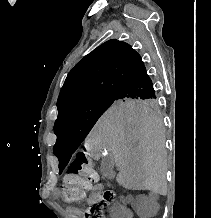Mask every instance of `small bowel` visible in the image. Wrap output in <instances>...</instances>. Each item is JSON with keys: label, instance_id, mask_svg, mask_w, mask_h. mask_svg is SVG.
Returning <instances> with one entry per match:
<instances>
[{"label": "small bowel", "instance_id": "obj_1", "mask_svg": "<svg viewBox=\"0 0 211 218\" xmlns=\"http://www.w3.org/2000/svg\"><path fill=\"white\" fill-rule=\"evenodd\" d=\"M103 189V185L101 183H96L92 189L91 193L88 197V203L92 204L102 200L101 191ZM55 198H59L60 192L58 190H53L52 192ZM69 212L73 215L74 218H79L80 209L76 207L69 208ZM114 218H134V212L131 208L127 206H118L113 210Z\"/></svg>", "mask_w": 211, "mask_h": 218}]
</instances>
